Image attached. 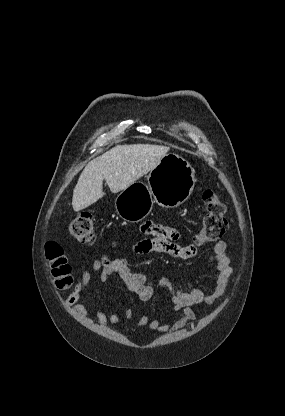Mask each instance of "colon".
<instances>
[{"label": "colon", "instance_id": "colon-1", "mask_svg": "<svg viewBox=\"0 0 285 416\" xmlns=\"http://www.w3.org/2000/svg\"><path fill=\"white\" fill-rule=\"evenodd\" d=\"M202 200L206 206L203 216L202 228L195 237V243H205L220 240L226 230L225 218L226 206L220 195L213 189L206 188L202 191ZM69 234L83 244H92L95 241L94 219L89 213H82L68 224ZM46 256L51 263V272L55 283L59 288L71 285V267L64 255L62 247L55 242L47 243Z\"/></svg>", "mask_w": 285, "mask_h": 416}]
</instances>
